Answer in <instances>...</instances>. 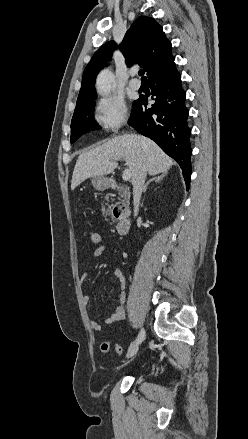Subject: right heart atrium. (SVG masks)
<instances>
[{
	"label": "right heart atrium",
	"mask_w": 248,
	"mask_h": 439,
	"mask_svg": "<svg viewBox=\"0 0 248 439\" xmlns=\"http://www.w3.org/2000/svg\"><path fill=\"white\" fill-rule=\"evenodd\" d=\"M94 119L97 125L105 131H115L126 123L127 107L119 97H103L95 106Z\"/></svg>",
	"instance_id": "obj_1"
}]
</instances>
